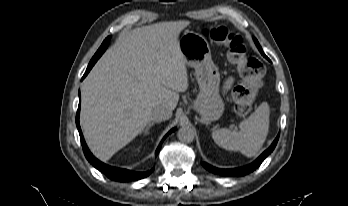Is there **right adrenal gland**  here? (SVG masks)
Listing matches in <instances>:
<instances>
[{
	"label": "right adrenal gland",
	"mask_w": 348,
	"mask_h": 206,
	"mask_svg": "<svg viewBox=\"0 0 348 206\" xmlns=\"http://www.w3.org/2000/svg\"><path fill=\"white\" fill-rule=\"evenodd\" d=\"M155 123H159L158 121H151L148 123V125L146 126L145 130H144V135L148 134L149 129L155 124Z\"/></svg>",
	"instance_id": "2a0ac1e0"
}]
</instances>
